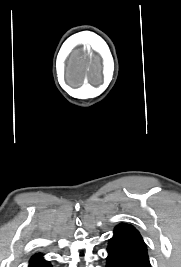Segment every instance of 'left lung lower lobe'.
Segmentation results:
<instances>
[{"mask_svg": "<svg viewBox=\"0 0 181 267\" xmlns=\"http://www.w3.org/2000/svg\"><path fill=\"white\" fill-rule=\"evenodd\" d=\"M107 250L106 267H151L146 244L132 225H118Z\"/></svg>", "mask_w": 181, "mask_h": 267, "instance_id": "obj_1", "label": "left lung lower lobe"}]
</instances>
